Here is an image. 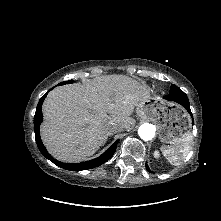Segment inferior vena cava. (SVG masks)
I'll list each match as a JSON object with an SVG mask.
<instances>
[{"mask_svg":"<svg viewBox=\"0 0 221 221\" xmlns=\"http://www.w3.org/2000/svg\"><path fill=\"white\" fill-rule=\"evenodd\" d=\"M123 128L121 126L116 125L113 122H109L106 127H105V131L107 135H111L113 133L119 132L121 131Z\"/></svg>","mask_w":221,"mask_h":221,"instance_id":"1","label":"inferior vena cava"}]
</instances>
